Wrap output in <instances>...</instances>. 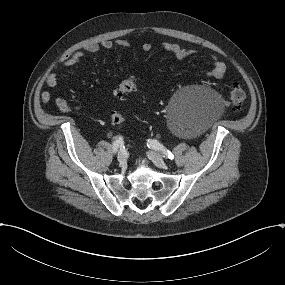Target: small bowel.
Masks as SVG:
<instances>
[{
	"mask_svg": "<svg viewBox=\"0 0 285 285\" xmlns=\"http://www.w3.org/2000/svg\"><path fill=\"white\" fill-rule=\"evenodd\" d=\"M115 46H118L122 49H128L130 44L127 40L117 39V40H103L99 43H89L86 45L82 51H76L72 53H68L64 55L59 60V66L61 68L71 67L77 65L84 61L85 53H97L101 49L111 50ZM162 48L171 53L177 60H183L190 56H193L197 53L196 50L192 48L183 47L175 42L164 41L162 43ZM143 51L149 52L152 49L151 44L145 43L142 46ZM211 69L208 71L207 76L211 78H221L226 72L225 63L219 59L215 55H211ZM59 79V73L57 71H53L47 78L46 83L49 87L53 88L57 85ZM54 101L56 107L61 112H72L77 111L79 109L78 106H73L67 102L63 97L56 96L55 98L48 91H44L41 93V101L44 103H48L50 101Z\"/></svg>",
	"mask_w": 285,
	"mask_h": 285,
	"instance_id": "1",
	"label": "small bowel"
}]
</instances>
